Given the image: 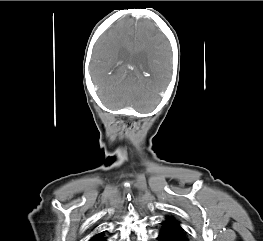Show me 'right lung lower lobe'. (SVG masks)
<instances>
[{
  "label": "right lung lower lobe",
  "mask_w": 263,
  "mask_h": 241,
  "mask_svg": "<svg viewBox=\"0 0 263 241\" xmlns=\"http://www.w3.org/2000/svg\"><path fill=\"white\" fill-rule=\"evenodd\" d=\"M100 241H105L104 239H100Z\"/></svg>",
  "instance_id": "98d812e1"
}]
</instances>
